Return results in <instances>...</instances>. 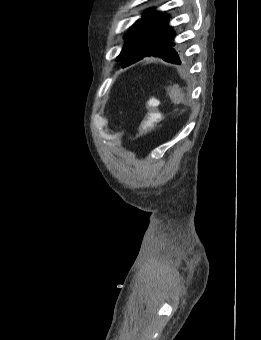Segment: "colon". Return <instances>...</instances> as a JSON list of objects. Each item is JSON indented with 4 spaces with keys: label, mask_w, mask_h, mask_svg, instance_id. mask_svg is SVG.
<instances>
[{
    "label": "colon",
    "mask_w": 261,
    "mask_h": 340,
    "mask_svg": "<svg viewBox=\"0 0 261 340\" xmlns=\"http://www.w3.org/2000/svg\"><path fill=\"white\" fill-rule=\"evenodd\" d=\"M160 101L157 98H149L145 101L146 115L139 126V134L145 135L150 133L161 121L159 111Z\"/></svg>",
    "instance_id": "1"
}]
</instances>
